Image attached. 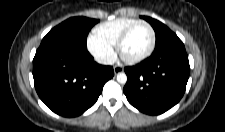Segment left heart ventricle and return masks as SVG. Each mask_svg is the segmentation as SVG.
<instances>
[{"label": "left heart ventricle", "instance_id": "obj_1", "mask_svg": "<svg viewBox=\"0 0 225 132\" xmlns=\"http://www.w3.org/2000/svg\"><path fill=\"white\" fill-rule=\"evenodd\" d=\"M151 41L150 30L146 25L136 26L126 41L124 42L121 52L126 58H135L142 55L149 47Z\"/></svg>", "mask_w": 225, "mask_h": 132}]
</instances>
